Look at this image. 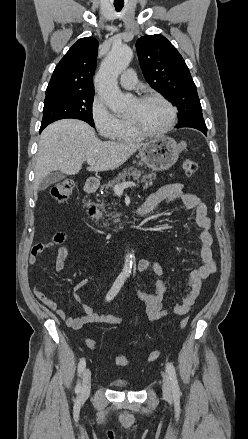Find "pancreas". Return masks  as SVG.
<instances>
[{
  "label": "pancreas",
  "instance_id": "pancreas-1",
  "mask_svg": "<svg viewBox=\"0 0 248 439\" xmlns=\"http://www.w3.org/2000/svg\"><path fill=\"white\" fill-rule=\"evenodd\" d=\"M131 176L133 177L134 180L137 181H139V179L141 178V182L144 184V188H148L149 186H151L153 184V180H155L154 173H150L148 175H141V172L139 170L130 167L128 169H124L122 173H119V175L116 178L109 181L107 184L102 185L101 190H105V192L108 193L109 189L114 188V186L117 185L120 181H125L127 178L129 179ZM110 216L112 218H116L114 220L115 224L120 221L119 219V217L121 216L120 214L118 213L114 215L110 214ZM103 225L105 227H108L111 225V223L105 222Z\"/></svg>",
  "mask_w": 248,
  "mask_h": 439
}]
</instances>
